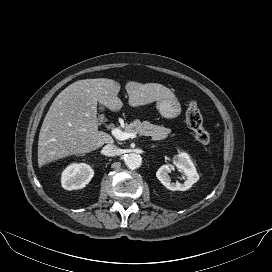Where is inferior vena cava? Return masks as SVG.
<instances>
[{"mask_svg": "<svg viewBox=\"0 0 272 272\" xmlns=\"http://www.w3.org/2000/svg\"><path fill=\"white\" fill-rule=\"evenodd\" d=\"M104 154L106 156H118L121 154V150L113 144H107L105 145V147L103 148Z\"/></svg>", "mask_w": 272, "mask_h": 272, "instance_id": "1", "label": "inferior vena cava"}]
</instances>
